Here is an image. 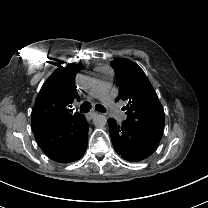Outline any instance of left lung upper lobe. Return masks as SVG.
I'll use <instances>...</instances> for the list:
<instances>
[{
  "label": "left lung upper lobe",
  "instance_id": "left-lung-upper-lobe-1",
  "mask_svg": "<svg viewBox=\"0 0 208 208\" xmlns=\"http://www.w3.org/2000/svg\"><path fill=\"white\" fill-rule=\"evenodd\" d=\"M120 85L116 99L123 100L126 121L139 134L159 143L163 134L164 109L144 71L134 62L118 59L111 62Z\"/></svg>",
  "mask_w": 208,
  "mask_h": 208
}]
</instances>
